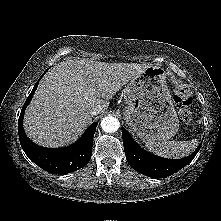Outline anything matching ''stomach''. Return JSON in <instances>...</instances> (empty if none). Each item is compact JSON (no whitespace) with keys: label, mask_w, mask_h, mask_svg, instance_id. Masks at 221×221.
<instances>
[{"label":"stomach","mask_w":221,"mask_h":221,"mask_svg":"<svg viewBox=\"0 0 221 221\" xmlns=\"http://www.w3.org/2000/svg\"><path fill=\"white\" fill-rule=\"evenodd\" d=\"M124 119L144 142L171 139L179 130L174 100L166 83V71L148 66L125 86Z\"/></svg>","instance_id":"1"}]
</instances>
